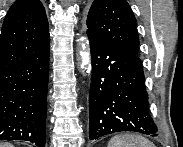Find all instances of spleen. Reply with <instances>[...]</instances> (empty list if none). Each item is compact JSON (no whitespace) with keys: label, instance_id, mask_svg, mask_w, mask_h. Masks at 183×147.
Instances as JSON below:
<instances>
[{"label":"spleen","instance_id":"1","mask_svg":"<svg viewBox=\"0 0 183 147\" xmlns=\"http://www.w3.org/2000/svg\"><path fill=\"white\" fill-rule=\"evenodd\" d=\"M108 147H155V145L143 136L121 134L111 138Z\"/></svg>","mask_w":183,"mask_h":147}]
</instances>
